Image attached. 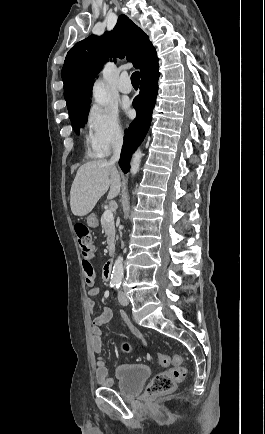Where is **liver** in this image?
<instances>
[{"instance_id": "6515ba94", "label": "liver", "mask_w": 265, "mask_h": 434, "mask_svg": "<svg viewBox=\"0 0 265 434\" xmlns=\"http://www.w3.org/2000/svg\"><path fill=\"white\" fill-rule=\"evenodd\" d=\"M121 178L117 168L107 160H94L80 166L71 186L70 206L74 216H86L105 192L107 200L120 194Z\"/></svg>"}]
</instances>
